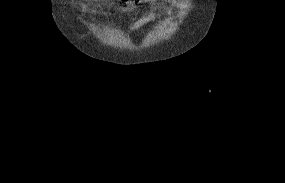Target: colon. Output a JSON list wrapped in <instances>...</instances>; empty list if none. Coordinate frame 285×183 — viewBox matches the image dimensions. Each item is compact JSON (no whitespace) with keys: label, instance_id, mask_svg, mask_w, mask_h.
Masks as SVG:
<instances>
[{"label":"colon","instance_id":"1","mask_svg":"<svg viewBox=\"0 0 285 183\" xmlns=\"http://www.w3.org/2000/svg\"><path fill=\"white\" fill-rule=\"evenodd\" d=\"M122 2H137L138 0H121Z\"/></svg>","mask_w":285,"mask_h":183}]
</instances>
